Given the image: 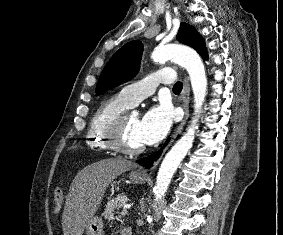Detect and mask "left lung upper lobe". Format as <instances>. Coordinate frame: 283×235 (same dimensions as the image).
Instances as JSON below:
<instances>
[{"label":"left lung upper lobe","mask_w":283,"mask_h":235,"mask_svg":"<svg viewBox=\"0 0 283 235\" xmlns=\"http://www.w3.org/2000/svg\"><path fill=\"white\" fill-rule=\"evenodd\" d=\"M177 40L194 48L204 59L207 58L205 43L195 28L181 23ZM143 44L138 40L122 46L104 67L96 86V95L132 79L140 66Z\"/></svg>","instance_id":"obj_1"}]
</instances>
